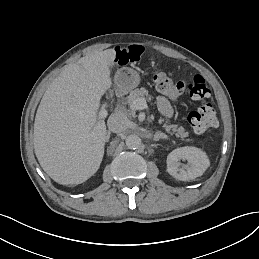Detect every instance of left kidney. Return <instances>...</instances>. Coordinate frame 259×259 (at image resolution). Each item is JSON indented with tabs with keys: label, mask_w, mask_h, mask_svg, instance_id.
<instances>
[{
	"label": "left kidney",
	"mask_w": 259,
	"mask_h": 259,
	"mask_svg": "<svg viewBox=\"0 0 259 259\" xmlns=\"http://www.w3.org/2000/svg\"><path fill=\"white\" fill-rule=\"evenodd\" d=\"M187 161V165H182ZM167 172L177 180L190 181L205 172L209 166V160L205 153L196 148H180L173 150L166 159Z\"/></svg>",
	"instance_id": "5707ae66"
}]
</instances>
